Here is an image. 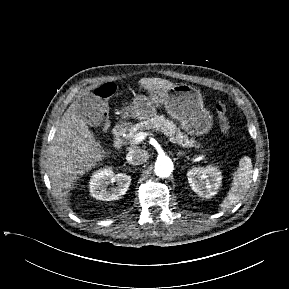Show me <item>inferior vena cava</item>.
Returning a JSON list of instances; mask_svg holds the SVG:
<instances>
[{
  "label": "inferior vena cava",
  "mask_w": 289,
  "mask_h": 289,
  "mask_svg": "<svg viewBox=\"0 0 289 289\" xmlns=\"http://www.w3.org/2000/svg\"><path fill=\"white\" fill-rule=\"evenodd\" d=\"M148 159L147 152L142 149H134L127 153L126 160L129 164L140 165Z\"/></svg>",
  "instance_id": "1"
}]
</instances>
